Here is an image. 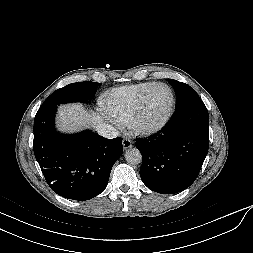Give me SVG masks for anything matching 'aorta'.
<instances>
[{"label": "aorta", "instance_id": "obj_1", "mask_svg": "<svg viewBox=\"0 0 253 253\" xmlns=\"http://www.w3.org/2000/svg\"><path fill=\"white\" fill-rule=\"evenodd\" d=\"M124 156L127 163L131 165H137L142 162V154L137 148H129Z\"/></svg>", "mask_w": 253, "mask_h": 253}]
</instances>
